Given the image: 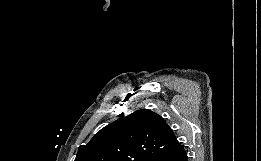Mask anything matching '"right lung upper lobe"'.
Wrapping results in <instances>:
<instances>
[{
  "label": "right lung upper lobe",
  "mask_w": 261,
  "mask_h": 161,
  "mask_svg": "<svg viewBox=\"0 0 261 161\" xmlns=\"http://www.w3.org/2000/svg\"><path fill=\"white\" fill-rule=\"evenodd\" d=\"M182 147L162 117L141 109L107 125L88 144L80 145L75 161H153Z\"/></svg>",
  "instance_id": "right-lung-upper-lobe-1"
}]
</instances>
